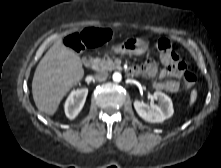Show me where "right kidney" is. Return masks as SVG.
Segmentation results:
<instances>
[{"mask_svg":"<svg viewBox=\"0 0 221 168\" xmlns=\"http://www.w3.org/2000/svg\"><path fill=\"white\" fill-rule=\"evenodd\" d=\"M88 94L87 88L73 90L65 102V114L69 119H74L84 106Z\"/></svg>","mask_w":221,"mask_h":168,"instance_id":"right-kidney-1","label":"right kidney"}]
</instances>
